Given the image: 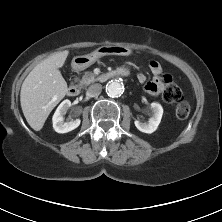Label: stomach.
Returning a JSON list of instances; mask_svg holds the SVG:
<instances>
[{"mask_svg": "<svg viewBox=\"0 0 222 222\" xmlns=\"http://www.w3.org/2000/svg\"><path fill=\"white\" fill-rule=\"evenodd\" d=\"M131 50L124 46H102L96 52L88 55L76 56L72 59L71 66L76 71H81L96 62V60L106 55L128 56Z\"/></svg>", "mask_w": 222, "mask_h": 222, "instance_id": "1", "label": "stomach"}]
</instances>
